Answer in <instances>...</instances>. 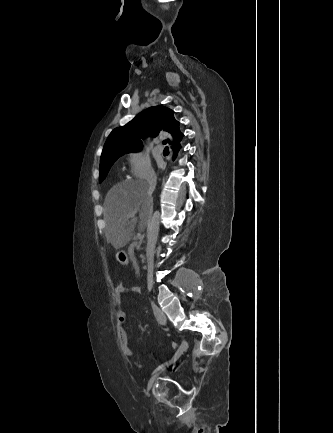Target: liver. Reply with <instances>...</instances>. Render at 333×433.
<instances>
[{
	"label": "liver",
	"mask_w": 333,
	"mask_h": 433,
	"mask_svg": "<svg viewBox=\"0 0 333 433\" xmlns=\"http://www.w3.org/2000/svg\"><path fill=\"white\" fill-rule=\"evenodd\" d=\"M153 206V199L149 193L145 180H125L113 186L104 201L103 228L108 243L115 249L126 246L132 239L136 217L127 216L139 212V231L144 229V221Z\"/></svg>",
	"instance_id": "6515ba94"
}]
</instances>
